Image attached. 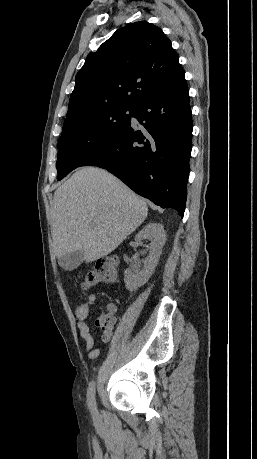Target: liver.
<instances>
[{
    "label": "liver",
    "mask_w": 257,
    "mask_h": 459,
    "mask_svg": "<svg viewBox=\"0 0 257 459\" xmlns=\"http://www.w3.org/2000/svg\"><path fill=\"white\" fill-rule=\"evenodd\" d=\"M148 207L115 176L83 167L54 193L51 234L57 258L82 250L90 263L110 254L146 219Z\"/></svg>",
    "instance_id": "obj_1"
}]
</instances>
